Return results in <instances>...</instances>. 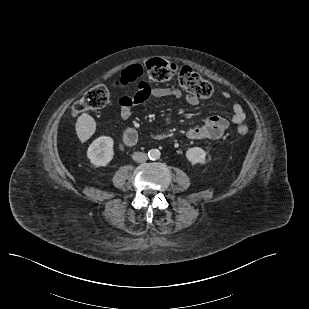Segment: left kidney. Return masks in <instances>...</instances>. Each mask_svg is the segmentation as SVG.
Listing matches in <instances>:
<instances>
[{
	"instance_id": "obj_1",
	"label": "left kidney",
	"mask_w": 309,
	"mask_h": 309,
	"mask_svg": "<svg viewBox=\"0 0 309 309\" xmlns=\"http://www.w3.org/2000/svg\"><path fill=\"white\" fill-rule=\"evenodd\" d=\"M186 158L192 164H205L206 152L200 147H192L186 151Z\"/></svg>"
}]
</instances>
